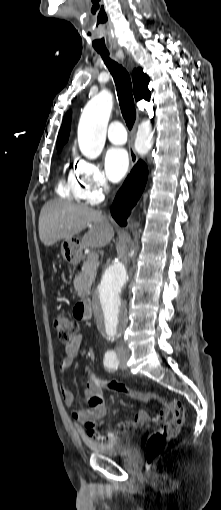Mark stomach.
I'll use <instances>...</instances> for the list:
<instances>
[{
    "mask_svg": "<svg viewBox=\"0 0 221 510\" xmlns=\"http://www.w3.org/2000/svg\"><path fill=\"white\" fill-rule=\"evenodd\" d=\"M81 246L76 241L71 239H65L61 244V253L64 259L73 261L78 257Z\"/></svg>",
    "mask_w": 221,
    "mask_h": 510,
    "instance_id": "obj_1",
    "label": "stomach"
}]
</instances>
